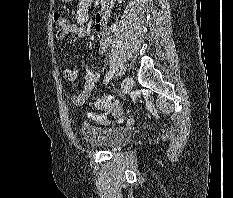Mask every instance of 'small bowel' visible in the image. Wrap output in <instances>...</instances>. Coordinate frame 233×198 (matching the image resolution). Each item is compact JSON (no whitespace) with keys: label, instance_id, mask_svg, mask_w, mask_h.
<instances>
[{"label":"small bowel","instance_id":"obj_1","mask_svg":"<svg viewBox=\"0 0 233 198\" xmlns=\"http://www.w3.org/2000/svg\"><path fill=\"white\" fill-rule=\"evenodd\" d=\"M92 0H79V7L76 13V23L65 25L64 29L60 33H56L58 39H63L66 36H71L72 42H78L82 40L86 35L85 22L88 20V7ZM110 17L109 7L102 6L97 12L94 18V29L99 40V47L101 52L108 49L111 42V34L108 28V20ZM62 75L67 81H75L79 76L78 69L65 67L62 71ZM100 74L99 72L88 69L85 73V83L81 92L72 94L69 98L74 105H83L90 97L94 90ZM100 121H104L103 116H94Z\"/></svg>","mask_w":233,"mask_h":198}]
</instances>
